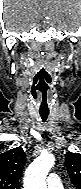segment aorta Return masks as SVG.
<instances>
[{
	"label": "aorta",
	"instance_id": "obj_1",
	"mask_svg": "<svg viewBox=\"0 0 81 189\" xmlns=\"http://www.w3.org/2000/svg\"><path fill=\"white\" fill-rule=\"evenodd\" d=\"M54 163L52 154H41L36 158L26 169L24 189H47L45 179Z\"/></svg>",
	"mask_w": 81,
	"mask_h": 189
}]
</instances>
